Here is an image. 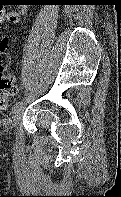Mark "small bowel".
Instances as JSON below:
<instances>
[{
  "label": "small bowel",
  "instance_id": "small-bowel-1",
  "mask_svg": "<svg viewBox=\"0 0 121 197\" xmlns=\"http://www.w3.org/2000/svg\"><path fill=\"white\" fill-rule=\"evenodd\" d=\"M27 13V7L20 5L16 11H7L5 8L0 6V24L8 21L10 23H17ZM8 46L7 38H3L0 42V53H3Z\"/></svg>",
  "mask_w": 121,
  "mask_h": 197
}]
</instances>
